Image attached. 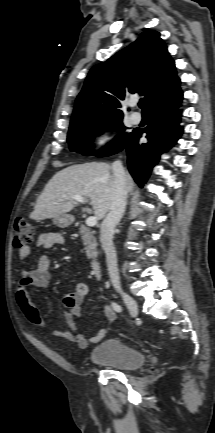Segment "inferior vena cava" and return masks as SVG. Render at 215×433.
<instances>
[{"mask_svg":"<svg viewBox=\"0 0 215 433\" xmlns=\"http://www.w3.org/2000/svg\"><path fill=\"white\" fill-rule=\"evenodd\" d=\"M114 174V187L111 197L109 212L100 227V241L106 254L107 268L112 285L116 290H121L120 277L117 267V256L113 245V234L116 225L120 222L125 212L127 186L126 174L122 162L117 160L112 164Z\"/></svg>","mask_w":215,"mask_h":433,"instance_id":"obj_1","label":"inferior vena cava"}]
</instances>
